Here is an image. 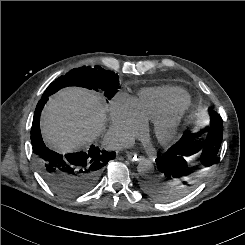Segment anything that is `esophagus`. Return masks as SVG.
I'll return each instance as SVG.
<instances>
[{"label": "esophagus", "mask_w": 245, "mask_h": 245, "mask_svg": "<svg viewBox=\"0 0 245 245\" xmlns=\"http://www.w3.org/2000/svg\"><path fill=\"white\" fill-rule=\"evenodd\" d=\"M127 158L131 162H142L145 160L144 156H140V155H137L136 153H131V152L127 154Z\"/></svg>", "instance_id": "1"}]
</instances>
